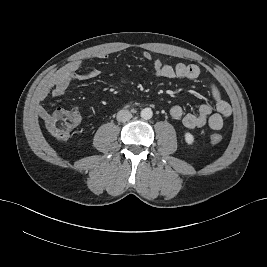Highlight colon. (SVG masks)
Masks as SVG:
<instances>
[{
	"label": "colon",
	"mask_w": 267,
	"mask_h": 267,
	"mask_svg": "<svg viewBox=\"0 0 267 267\" xmlns=\"http://www.w3.org/2000/svg\"><path fill=\"white\" fill-rule=\"evenodd\" d=\"M79 121L80 116L77 112L61 108L50 113L45 119L49 133L61 141H65L71 136ZM210 140L216 144L221 142L222 136L219 133H213L210 135Z\"/></svg>",
	"instance_id": "5ec220e1"
}]
</instances>
